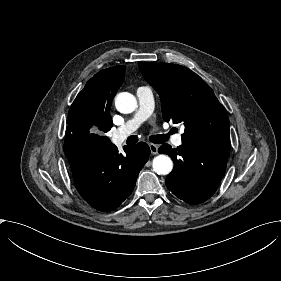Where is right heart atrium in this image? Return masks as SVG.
Here are the masks:
<instances>
[{"instance_id": "d8ad5b80", "label": "right heart atrium", "mask_w": 281, "mask_h": 281, "mask_svg": "<svg viewBox=\"0 0 281 281\" xmlns=\"http://www.w3.org/2000/svg\"><path fill=\"white\" fill-rule=\"evenodd\" d=\"M120 100V104L122 107L126 108L129 102V95L125 93H120L116 98V105L117 101Z\"/></svg>"}]
</instances>
